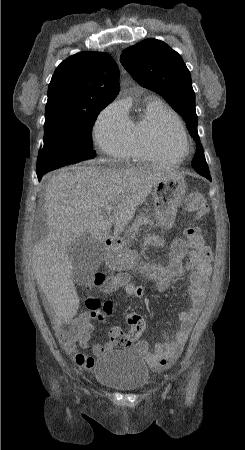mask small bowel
I'll list each match as a JSON object with an SVG mask.
<instances>
[{
    "label": "small bowel",
    "mask_w": 245,
    "mask_h": 450,
    "mask_svg": "<svg viewBox=\"0 0 245 450\" xmlns=\"http://www.w3.org/2000/svg\"><path fill=\"white\" fill-rule=\"evenodd\" d=\"M145 241L148 245L156 246H161L165 243V240L161 236L155 234L149 235ZM211 262L212 259L208 262L200 260L194 251L187 249L184 239L175 238L171 244L170 261L168 266H149L142 269L146 275L156 282V290L160 292L167 290L171 282L178 279L182 275L185 268L193 269L190 274V280L187 287L191 305L188 310L178 313V319L180 322L179 329L173 334V336L170 337L167 335L164 342L157 343L153 350L150 349L149 344L145 340H138L133 344L134 348L144 358L150 369L157 372L163 371L174 364L179 358L192 330L193 324L201 311L206 296L208 282L213 272ZM120 288L124 289L125 298H142L150 293L149 289L131 283L117 285L113 287L111 291H115ZM98 315H102V317L98 318ZM109 316V304H104V306H101L99 310H94L89 305L84 315L78 317L71 316L67 318L52 315V321L55 327V324L58 322L70 320L89 321L90 318H97L103 321ZM55 332L56 337L62 343L66 352L71 356L75 363L86 369H90L92 367L90 362L92 361L93 363V358L81 352L78 348L77 342L65 341L61 338L56 329ZM90 334L91 330L86 333L80 342V345L83 348L87 347ZM115 347H117V345L114 344L110 337V339L105 343L95 344L92 347V352L94 355L99 356ZM80 356L85 357L86 361L81 362L79 359Z\"/></svg>",
    "instance_id": "small-bowel-1"
}]
</instances>
